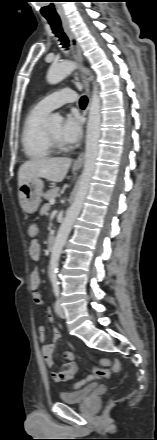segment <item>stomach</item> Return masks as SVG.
Listing matches in <instances>:
<instances>
[{"mask_svg": "<svg viewBox=\"0 0 157 440\" xmlns=\"http://www.w3.org/2000/svg\"><path fill=\"white\" fill-rule=\"evenodd\" d=\"M43 187L44 182L39 178H33L19 186V203L25 213H34L37 211L41 203Z\"/></svg>", "mask_w": 157, "mask_h": 440, "instance_id": "1", "label": "stomach"}]
</instances>
